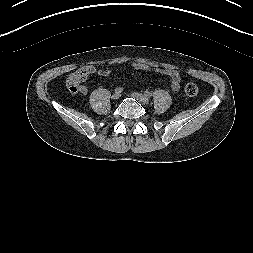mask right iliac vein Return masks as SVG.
I'll return each mask as SVG.
<instances>
[{"mask_svg":"<svg viewBox=\"0 0 253 253\" xmlns=\"http://www.w3.org/2000/svg\"><path fill=\"white\" fill-rule=\"evenodd\" d=\"M119 97H120V94H118V93H114V94L112 95V99H113V100H117V99H119Z\"/></svg>","mask_w":253,"mask_h":253,"instance_id":"63e3f726","label":"right iliac vein"}]
</instances>
